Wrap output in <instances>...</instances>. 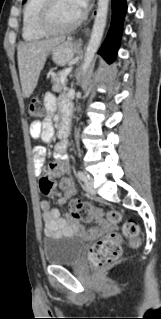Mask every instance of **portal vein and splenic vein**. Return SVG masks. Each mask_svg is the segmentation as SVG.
<instances>
[{
  "instance_id": "portal-vein-and-splenic-vein-1",
  "label": "portal vein and splenic vein",
  "mask_w": 161,
  "mask_h": 319,
  "mask_svg": "<svg viewBox=\"0 0 161 319\" xmlns=\"http://www.w3.org/2000/svg\"><path fill=\"white\" fill-rule=\"evenodd\" d=\"M71 70H72V67H69V68L63 70L62 76H61V78H62V83L65 81L67 75L71 72Z\"/></svg>"
}]
</instances>
